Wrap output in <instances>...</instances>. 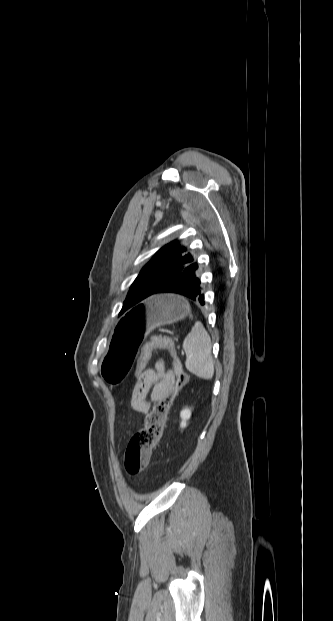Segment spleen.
Listing matches in <instances>:
<instances>
[{"mask_svg": "<svg viewBox=\"0 0 333 621\" xmlns=\"http://www.w3.org/2000/svg\"><path fill=\"white\" fill-rule=\"evenodd\" d=\"M187 370L201 379L214 376V362L211 355V338L202 324H195L183 341Z\"/></svg>", "mask_w": 333, "mask_h": 621, "instance_id": "spleen-1", "label": "spleen"}]
</instances>
